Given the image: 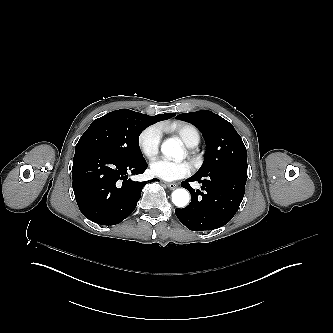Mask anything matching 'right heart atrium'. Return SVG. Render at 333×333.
<instances>
[{"label":"right heart atrium","mask_w":333,"mask_h":333,"mask_svg":"<svg viewBox=\"0 0 333 333\" xmlns=\"http://www.w3.org/2000/svg\"><path fill=\"white\" fill-rule=\"evenodd\" d=\"M161 135L154 127L147 128L138 139V145L142 154L152 163L159 155Z\"/></svg>","instance_id":"right-heart-atrium-1"}]
</instances>
